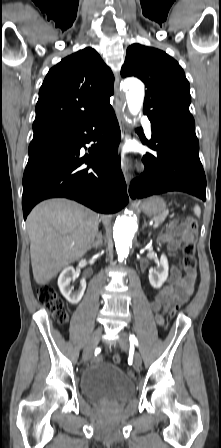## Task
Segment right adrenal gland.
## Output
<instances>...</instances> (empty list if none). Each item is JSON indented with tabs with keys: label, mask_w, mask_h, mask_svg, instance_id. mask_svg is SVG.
<instances>
[{
	"label": "right adrenal gland",
	"mask_w": 221,
	"mask_h": 448,
	"mask_svg": "<svg viewBox=\"0 0 221 448\" xmlns=\"http://www.w3.org/2000/svg\"><path fill=\"white\" fill-rule=\"evenodd\" d=\"M102 245V234L99 232L96 236V240L92 243L90 249H98Z\"/></svg>",
	"instance_id": "2a0ac1e0"
}]
</instances>
